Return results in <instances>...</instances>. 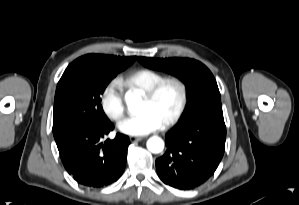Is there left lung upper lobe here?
Here are the masks:
<instances>
[{"mask_svg": "<svg viewBox=\"0 0 299 205\" xmlns=\"http://www.w3.org/2000/svg\"><path fill=\"white\" fill-rule=\"evenodd\" d=\"M138 61L150 69L178 77L187 87L188 102L179 121H193L213 112H222L220 92L210 70L189 58H147Z\"/></svg>", "mask_w": 299, "mask_h": 205, "instance_id": "1", "label": "left lung upper lobe"}]
</instances>
